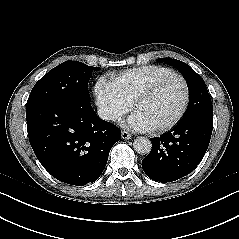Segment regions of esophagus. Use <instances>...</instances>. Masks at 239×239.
I'll return each mask as SVG.
<instances>
[{
	"mask_svg": "<svg viewBox=\"0 0 239 239\" xmlns=\"http://www.w3.org/2000/svg\"><path fill=\"white\" fill-rule=\"evenodd\" d=\"M121 137H122L123 139H125V140H128V139L131 138V134L128 133L127 131H122V132H121Z\"/></svg>",
	"mask_w": 239,
	"mask_h": 239,
	"instance_id": "obj_1",
	"label": "esophagus"
}]
</instances>
